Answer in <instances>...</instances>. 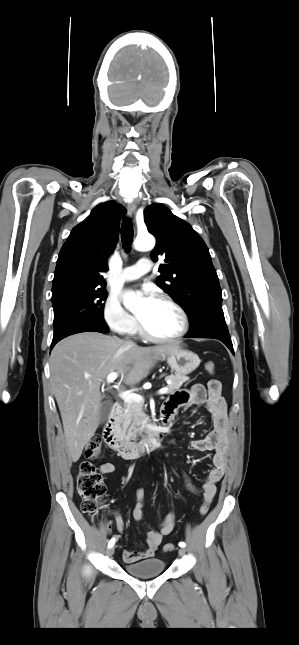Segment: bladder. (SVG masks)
<instances>
[{"label": "bladder", "mask_w": 299, "mask_h": 645, "mask_svg": "<svg viewBox=\"0 0 299 645\" xmlns=\"http://www.w3.org/2000/svg\"><path fill=\"white\" fill-rule=\"evenodd\" d=\"M125 571L134 577H153L162 574L165 570V562L159 558H150L136 563L127 564Z\"/></svg>", "instance_id": "1"}]
</instances>
